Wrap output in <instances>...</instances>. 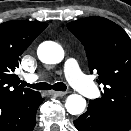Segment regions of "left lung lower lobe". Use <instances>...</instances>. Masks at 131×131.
I'll return each instance as SVG.
<instances>
[{
    "instance_id": "left-lung-lower-lobe-1",
    "label": "left lung lower lobe",
    "mask_w": 131,
    "mask_h": 131,
    "mask_svg": "<svg viewBox=\"0 0 131 131\" xmlns=\"http://www.w3.org/2000/svg\"><path fill=\"white\" fill-rule=\"evenodd\" d=\"M79 131H126L116 127L107 117L88 106L87 111L74 121Z\"/></svg>"
}]
</instances>
